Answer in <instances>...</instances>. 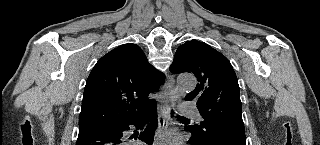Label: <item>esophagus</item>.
I'll list each match as a JSON object with an SVG mask.
<instances>
[{"label":"esophagus","instance_id":"obj_1","mask_svg":"<svg viewBox=\"0 0 320 145\" xmlns=\"http://www.w3.org/2000/svg\"><path fill=\"white\" fill-rule=\"evenodd\" d=\"M174 78L168 76L164 90L158 102V127L155 143L158 144L169 126L170 98L174 88Z\"/></svg>","mask_w":320,"mask_h":145}]
</instances>
